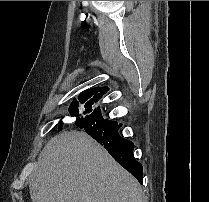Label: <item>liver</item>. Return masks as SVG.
<instances>
[{
	"instance_id": "obj_1",
	"label": "liver",
	"mask_w": 209,
	"mask_h": 202,
	"mask_svg": "<svg viewBox=\"0 0 209 202\" xmlns=\"http://www.w3.org/2000/svg\"><path fill=\"white\" fill-rule=\"evenodd\" d=\"M32 202H144L136 179L84 132H63L42 150Z\"/></svg>"
}]
</instances>
